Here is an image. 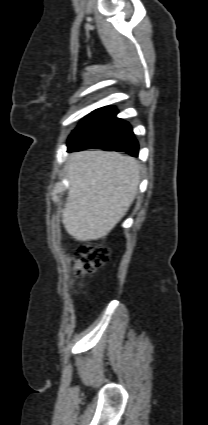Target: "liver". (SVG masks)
<instances>
[{"mask_svg": "<svg viewBox=\"0 0 208 425\" xmlns=\"http://www.w3.org/2000/svg\"><path fill=\"white\" fill-rule=\"evenodd\" d=\"M69 190L62 222L78 241L97 240L126 215L138 191L139 163L108 151H82L69 156Z\"/></svg>", "mask_w": 208, "mask_h": 425, "instance_id": "6515ba94", "label": "liver"}]
</instances>
